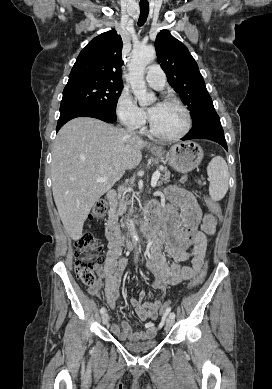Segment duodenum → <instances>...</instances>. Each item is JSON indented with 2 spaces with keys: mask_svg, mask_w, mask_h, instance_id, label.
Masks as SVG:
<instances>
[{
  "mask_svg": "<svg viewBox=\"0 0 272 389\" xmlns=\"http://www.w3.org/2000/svg\"><path fill=\"white\" fill-rule=\"evenodd\" d=\"M118 193L115 189H110L106 193V198L111 206H114ZM160 224V215L151 208L147 210L145 221L140 230L146 239L154 237ZM106 237L109 242L116 243L120 246L131 245L132 241L125 240L121 232V226L114 215L108 220L106 225Z\"/></svg>",
  "mask_w": 272,
  "mask_h": 389,
  "instance_id": "1",
  "label": "duodenum"
}]
</instances>
